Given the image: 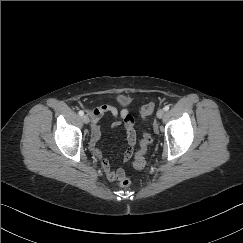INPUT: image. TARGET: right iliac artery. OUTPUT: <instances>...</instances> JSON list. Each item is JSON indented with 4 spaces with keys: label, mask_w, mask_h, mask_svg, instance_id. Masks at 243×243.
<instances>
[{
    "label": "right iliac artery",
    "mask_w": 243,
    "mask_h": 243,
    "mask_svg": "<svg viewBox=\"0 0 243 243\" xmlns=\"http://www.w3.org/2000/svg\"><path fill=\"white\" fill-rule=\"evenodd\" d=\"M78 114H79L80 116H83V115H84V112H83L82 110H80V111L78 112Z\"/></svg>",
    "instance_id": "right-iliac-artery-1"
}]
</instances>
